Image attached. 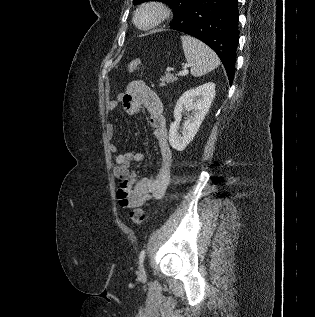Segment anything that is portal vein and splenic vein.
Segmentation results:
<instances>
[{
    "mask_svg": "<svg viewBox=\"0 0 315 317\" xmlns=\"http://www.w3.org/2000/svg\"><path fill=\"white\" fill-rule=\"evenodd\" d=\"M167 70L169 71L170 68H167ZM187 74H188L187 68H184L182 71H180V72L178 73L179 76H185V75H187Z\"/></svg>",
    "mask_w": 315,
    "mask_h": 317,
    "instance_id": "portal-vein-and-splenic-vein-1",
    "label": "portal vein and splenic vein"
}]
</instances>
